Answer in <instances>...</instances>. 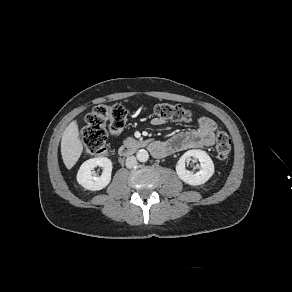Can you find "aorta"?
I'll use <instances>...</instances> for the list:
<instances>
[{
	"label": "aorta",
	"instance_id": "1",
	"mask_svg": "<svg viewBox=\"0 0 292 292\" xmlns=\"http://www.w3.org/2000/svg\"><path fill=\"white\" fill-rule=\"evenodd\" d=\"M136 157L140 162H146L149 159V153L146 150L141 149L137 152Z\"/></svg>",
	"mask_w": 292,
	"mask_h": 292
}]
</instances>
